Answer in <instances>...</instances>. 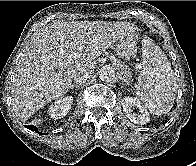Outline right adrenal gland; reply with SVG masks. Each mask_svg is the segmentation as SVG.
Here are the masks:
<instances>
[{
	"label": "right adrenal gland",
	"mask_w": 196,
	"mask_h": 166,
	"mask_svg": "<svg viewBox=\"0 0 196 166\" xmlns=\"http://www.w3.org/2000/svg\"><path fill=\"white\" fill-rule=\"evenodd\" d=\"M78 88V89H81L82 88V85H80V84H72L71 85V87H70V89H73V88Z\"/></svg>",
	"instance_id": "2a0ac1e0"
}]
</instances>
